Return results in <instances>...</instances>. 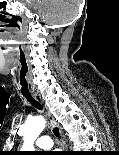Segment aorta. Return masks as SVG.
Returning a JSON list of instances; mask_svg holds the SVG:
<instances>
[{"label":"aorta","instance_id":"aorta-1","mask_svg":"<svg viewBox=\"0 0 119 155\" xmlns=\"http://www.w3.org/2000/svg\"><path fill=\"white\" fill-rule=\"evenodd\" d=\"M46 121L42 116H35L26 121L24 125V145L25 151H33L34 141L45 128Z\"/></svg>","mask_w":119,"mask_h":155}]
</instances>
